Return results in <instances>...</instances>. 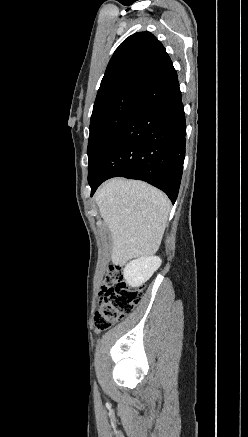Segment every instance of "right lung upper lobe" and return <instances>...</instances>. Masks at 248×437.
<instances>
[{
  "mask_svg": "<svg viewBox=\"0 0 248 437\" xmlns=\"http://www.w3.org/2000/svg\"><path fill=\"white\" fill-rule=\"evenodd\" d=\"M170 63L164 46L151 33L129 36L109 61L93 109L122 93L140 92Z\"/></svg>",
  "mask_w": 248,
  "mask_h": 437,
  "instance_id": "1",
  "label": "right lung upper lobe"
}]
</instances>
